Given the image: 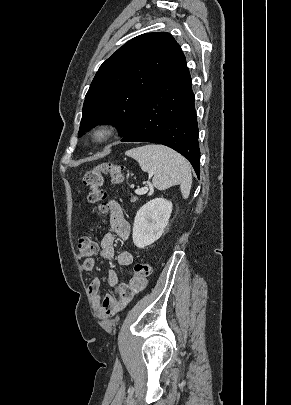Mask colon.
Here are the masks:
<instances>
[{
    "label": "colon",
    "mask_w": 291,
    "mask_h": 405,
    "mask_svg": "<svg viewBox=\"0 0 291 405\" xmlns=\"http://www.w3.org/2000/svg\"><path fill=\"white\" fill-rule=\"evenodd\" d=\"M124 166L110 161L100 162L92 169L85 172L83 183L90 189L88 201L95 206L100 213H105L106 203L104 202L106 194L103 190L104 178L109 175L112 182L120 184L124 180ZM97 252V243L90 236H82L77 240V256L79 260L90 259ZM152 273V265L147 262L137 263L131 275V280H145Z\"/></svg>",
    "instance_id": "5ec220e1"
}]
</instances>
